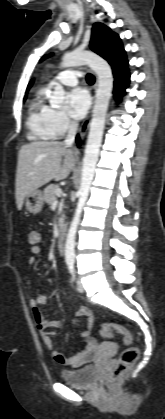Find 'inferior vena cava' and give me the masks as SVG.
<instances>
[{
    "instance_id": "602c4592",
    "label": "inferior vena cava",
    "mask_w": 165,
    "mask_h": 419,
    "mask_svg": "<svg viewBox=\"0 0 165 419\" xmlns=\"http://www.w3.org/2000/svg\"><path fill=\"white\" fill-rule=\"evenodd\" d=\"M77 128H78V123L75 122V121H72L71 124L69 125L67 137L64 140V144L67 147L72 146V144L74 142V139H75Z\"/></svg>"
}]
</instances>
